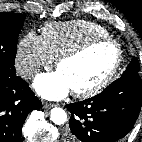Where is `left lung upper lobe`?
<instances>
[{
    "instance_id": "5c2ea615",
    "label": "left lung upper lobe",
    "mask_w": 142,
    "mask_h": 142,
    "mask_svg": "<svg viewBox=\"0 0 142 142\" xmlns=\"http://www.w3.org/2000/svg\"><path fill=\"white\" fill-rule=\"evenodd\" d=\"M139 70H140L139 62L134 57L133 60L130 62V64L127 66L126 70L123 72L122 76L128 74H138Z\"/></svg>"
}]
</instances>
